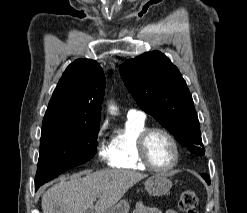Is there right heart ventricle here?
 Returning <instances> with one entry per match:
<instances>
[{"instance_id": "right-heart-ventricle-1", "label": "right heart ventricle", "mask_w": 247, "mask_h": 213, "mask_svg": "<svg viewBox=\"0 0 247 213\" xmlns=\"http://www.w3.org/2000/svg\"><path fill=\"white\" fill-rule=\"evenodd\" d=\"M146 128L145 119L127 118L123 128L113 134L108 145L111 167L133 171L146 170L138 159L136 150L138 135Z\"/></svg>"}]
</instances>
